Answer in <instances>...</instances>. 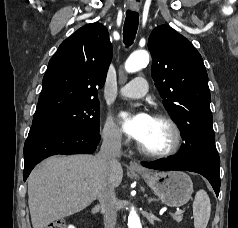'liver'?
Listing matches in <instances>:
<instances>
[{"label": "liver", "instance_id": "liver-1", "mask_svg": "<svg viewBox=\"0 0 238 228\" xmlns=\"http://www.w3.org/2000/svg\"><path fill=\"white\" fill-rule=\"evenodd\" d=\"M121 184L120 163L104 172L93 155L53 156L37 165L28 177V205L33 228L73 215L96 200L101 181Z\"/></svg>", "mask_w": 238, "mask_h": 228}]
</instances>
